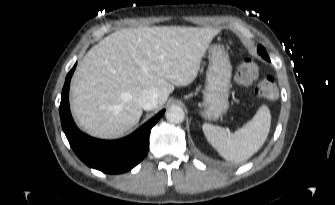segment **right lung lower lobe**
I'll use <instances>...</instances> for the list:
<instances>
[{
	"label": "right lung lower lobe",
	"mask_w": 335,
	"mask_h": 205,
	"mask_svg": "<svg viewBox=\"0 0 335 205\" xmlns=\"http://www.w3.org/2000/svg\"><path fill=\"white\" fill-rule=\"evenodd\" d=\"M75 67L76 64L66 76L59 107L62 128L72 149L86 165L104 173L130 170L147 154L150 131L164 110L123 139L105 141L89 137L77 128L69 109V85Z\"/></svg>",
	"instance_id": "1"
}]
</instances>
